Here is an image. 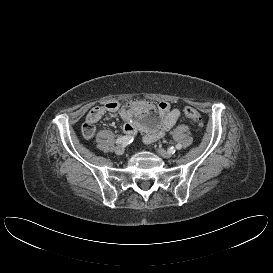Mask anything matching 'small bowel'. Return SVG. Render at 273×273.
<instances>
[{
	"mask_svg": "<svg viewBox=\"0 0 273 273\" xmlns=\"http://www.w3.org/2000/svg\"><path fill=\"white\" fill-rule=\"evenodd\" d=\"M110 113H119L124 121V132L132 137L137 132L143 134L145 143L150 144L165 135L177 122L181 112L167 102L156 106L147 101L119 102L110 100L93 107L82 126V135L91 139L96 132L97 122Z\"/></svg>",
	"mask_w": 273,
	"mask_h": 273,
	"instance_id": "obj_1",
	"label": "small bowel"
}]
</instances>
